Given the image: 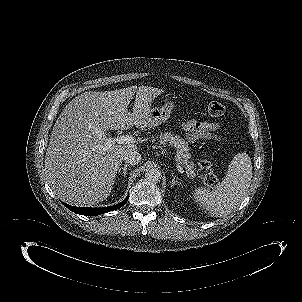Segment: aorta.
Here are the masks:
<instances>
[{"mask_svg":"<svg viewBox=\"0 0 302 302\" xmlns=\"http://www.w3.org/2000/svg\"><path fill=\"white\" fill-rule=\"evenodd\" d=\"M145 177L150 182H157L161 179V172L158 168L151 167L146 170Z\"/></svg>","mask_w":302,"mask_h":302,"instance_id":"762f6f07","label":"aorta"}]
</instances>
